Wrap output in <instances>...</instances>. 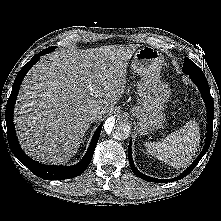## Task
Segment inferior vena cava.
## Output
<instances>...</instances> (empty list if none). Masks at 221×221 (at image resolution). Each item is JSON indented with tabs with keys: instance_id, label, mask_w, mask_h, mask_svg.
Listing matches in <instances>:
<instances>
[{
	"instance_id": "1",
	"label": "inferior vena cava",
	"mask_w": 221,
	"mask_h": 221,
	"mask_svg": "<svg viewBox=\"0 0 221 221\" xmlns=\"http://www.w3.org/2000/svg\"><path fill=\"white\" fill-rule=\"evenodd\" d=\"M100 115H101V112H94V113L91 114L90 120L92 122H95V121L99 120Z\"/></svg>"
}]
</instances>
